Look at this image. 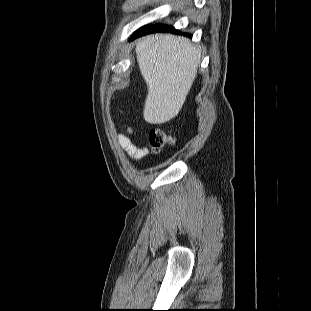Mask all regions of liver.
Segmentation results:
<instances>
[{
	"label": "liver",
	"instance_id": "obj_1",
	"mask_svg": "<svg viewBox=\"0 0 311 311\" xmlns=\"http://www.w3.org/2000/svg\"><path fill=\"white\" fill-rule=\"evenodd\" d=\"M139 69L148 94L143 117L162 124L178 115L195 80L200 51L187 38L154 34L136 45Z\"/></svg>",
	"mask_w": 311,
	"mask_h": 311
}]
</instances>
